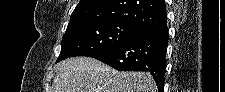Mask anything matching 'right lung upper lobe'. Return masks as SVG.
<instances>
[{"instance_id":"1","label":"right lung upper lobe","mask_w":225,"mask_h":92,"mask_svg":"<svg viewBox=\"0 0 225 92\" xmlns=\"http://www.w3.org/2000/svg\"><path fill=\"white\" fill-rule=\"evenodd\" d=\"M120 22L141 31L167 23L164 0H80L68 28L87 23Z\"/></svg>"}]
</instances>
